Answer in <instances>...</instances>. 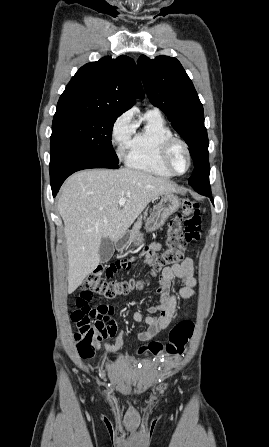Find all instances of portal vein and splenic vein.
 <instances>
[{"label":"portal vein and splenic vein","mask_w":269,"mask_h":447,"mask_svg":"<svg viewBox=\"0 0 269 447\" xmlns=\"http://www.w3.org/2000/svg\"><path fill=\"white\" fill-rule=\"evenodd\" d=\"M126 200H127V198H120V200H119V206H124Z\"/></svg>","instance_id":"portal-vein-and-splenic-vein-1"}]
</instances>
